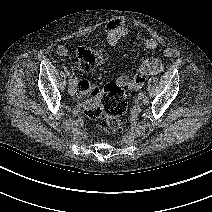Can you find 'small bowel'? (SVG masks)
Instances as JSON below:
<instances>
[{
  "label": "small bowel",
  "mask_w": 212,
  "mask_h": 212,
  "mask_svg": "<svg viewBox=\"0 0 212 212\" xmlns=\"http://www.w3.org/2000/svg\"><path fill=\"white\" fill-rule=\"evenodd\" d=\"M105 33L108 45L114 47L122 38L126 37L130 33V27L121 19H112L105 26ZM135 39L145 48L150 50L157 49L160 46V42L156 38L145 37L139 33L135 35ZM56 53L59 56L65 57L69 55V50L65 46L59 45L56 48ZM164 55L166 57H172L175 55V50L171 47H166L164 49ZM164 68L165 65L163 62L158 59L150 58L141 63L139 73L142 76L153 75L161 73ZM82 85L87 86L89 84L87 81H82ZM83 92L84 88L80 91V97L82 96Z\"/></svg>",
  "instance_id": "c3829d8e"
}]
</instances>
